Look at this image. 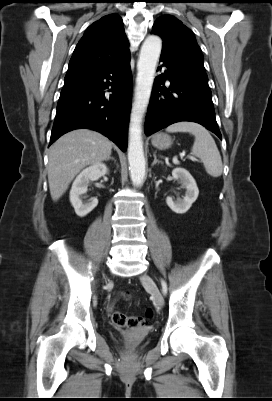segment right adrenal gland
Listing matches in <instances>:
<instances>
[{
  "mask_svg": "<svg viewBox=\"0 0 272 401\" xmlns=\"http://www.w3.org/2000/svg\"><path fill=\"white\" fill-rule=\"evenodd\" d=\"M113 160L114 162H116V160L113 158V157H108L107 159H106V161H109V160Z\"/></svg>",
  "mask_w": 272,
  "mask_h": 401,
  "instance_id": "obj_1",
  "label": "right adrenal gland"
}]
</instances>
